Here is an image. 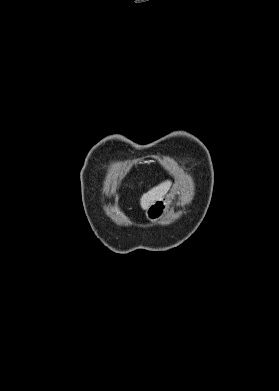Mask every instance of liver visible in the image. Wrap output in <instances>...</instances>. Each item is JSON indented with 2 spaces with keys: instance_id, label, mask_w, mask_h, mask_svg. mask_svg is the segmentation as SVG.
<instances>
[{
  "instance_id": "6515ba94",
  "label": "liver",
  "mask_w": 279,
  "mask_h": 391,
  "mask_svg": "<svg viewBox=\"0 0 279 391\" xmlns=\"http://www.w3.org/2000/svg\"><path fill=\"white\" fill-rule=\"evenodd\" d=\"M171 187L170 181H165L158 186L152 188L147 193L143 194L140 199V205L142 209L147 210L154 202L160 200L162 197L166 195L168 190ZM118 197L116 196V200Z\"/></svg>"
}]
</instances>
